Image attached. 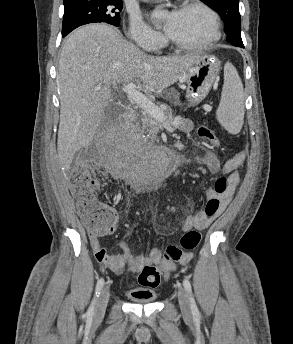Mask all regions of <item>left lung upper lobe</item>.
I'll list each match as a JSON object with an SVG mask.
<instances>
[{
  "instance_id": "obj_1",
  "label": "left lung upper lobe",
  "mask_w": 293,
  "mask_h": 344,
  "mask_svg": "<svg viewBox=\"0 0 293 344\" xmlns=\"http://www.w3.org/2000/svg\"><path fill=\"white\" fill-rule=\"evenodd\" d=\"M214 9L224 20L227 41L234 46L244 47L241 38L239 0H201Z\"/></svg>"
}]
</instances>
